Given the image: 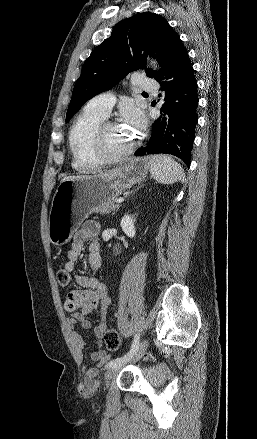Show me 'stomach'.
<instances>
[{
  "label": "stomach",
  "mask_w": 257,
  "mask_h": 439,
  "mask_svg": "<svg viewBox=\"0 0 257 439\" xmlns=\"http://www.w3.org/2000/svg\"><path fill=\"white\" fill-rule=\"evenodd\" d=\"M149 169L148 157L134 158L99 175L60 182L48 220L51 242L55 245L68 242L79 224L98 205L141 182Z\"/></svg>",
  "instance_id": "obj_1"
}]
</instances>
